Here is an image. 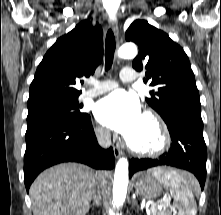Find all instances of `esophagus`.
I'll return each instance as SVG.
<instances>
[{
    "label": "esophagus",
    "mask_w": 221,
    "mask_h": 215,
    "mask_svg": "<svg viewBox=\"0 0 221 215\" xmlns=\"http://www.w3.org/2000/svg\"><path fill=\"white\" fill-rule=\"evenodd\" d=\"M110 26L112 30L114 31L115 36L118 38L119 36V27L118 22L116 19H113L110 21ZM113 152L116 158H120L123 155L122 150L119 148V146H113Z\"/></svg>",
    "instance_id": "esophagus-1"
}]
</instances>
